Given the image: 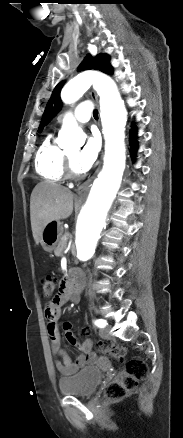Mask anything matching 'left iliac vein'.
I'll return each instance as SVG.
<instances>
[{"mask_svg":"<svg viewBox=\"0 0 183 438\" xmlns=\"http://www.w3.org/2000/svg\"><path fill=\"white\" fill-rule=\"evenodd\" d=\"M99 335L101 338L103 339H110L111 336L109 334V329L108 328H103L100 330Z\"/></svg>","mask_w":183,"mask_h":438,"instance_id":"left-iliac-vein-1","label":"left iliac vein"}]
</instances>
